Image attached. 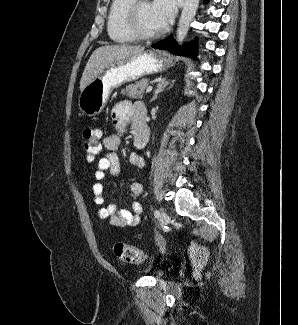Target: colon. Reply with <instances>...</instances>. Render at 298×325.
<instances>
[{
	"label": "colon",
	"mask_w": 298,
	"mask_h": 325,
	"mask_svg": "<svg viewBox=\"0 0 298 325\" xmlns=\"http://www.w3.org/2000/svg\"><path fill=\"white\" fill-rule=\"evenodd\" d=\"M101 135V131L94 127H86L83 130V150L89 162L102 150ZM113 251L117 258L125 263L140 264L145 261V256L138 248L125 243H116ZM190 256L197 266H201L207 260L208 253L204 247L193 243L190 246Z\"/></svg>",
	"instance_id": "colon-1"
}]
</instances>
